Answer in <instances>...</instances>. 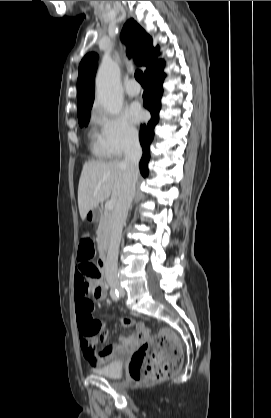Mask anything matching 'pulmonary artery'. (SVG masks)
<instances>
[{
  "mask_svg": "<svg viewBox=\"0 0 271 418\" xmlns=\"http://www.w3.org/2000/svg\"><path fill=\"white\" fill-rule=\"evenodd\" d=\"M125 90L129 96L135 97L138 96L140 93V86L137 84L136 81L131 80L126 84Z\"/></svg>",
  "mask_w": 271,
  "mask_h": 418,
  "instance_id": "obj_1",
  "label": "pulmonary artery"
}]
</instances>
